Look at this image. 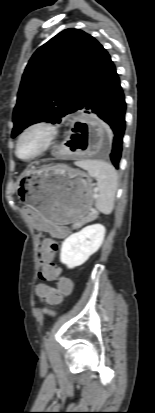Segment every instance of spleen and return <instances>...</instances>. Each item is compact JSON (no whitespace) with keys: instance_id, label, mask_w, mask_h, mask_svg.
<instances>
[{"instance_id":"spleen-1","label":"spleen","mask_w":155,"mask_h":413,"mask_svg":"<svg viewBox=\"0 0 155 413\" xmlns=\"http://www.w3.org/2000/svg\"><path fill=\"white\" fill-rule=\"evenodd\" d=\"M75 165L86 170L91 177L96 179V208L105 215L110 214L114 208L118 186L115 168L108 162L90 159L77 161Z\"/></svg>"}]
</instances>
